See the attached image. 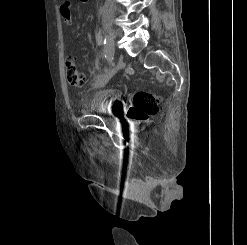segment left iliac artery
Returning a JSON list of instances; mask_svg holds the SVG:
<instances>
[{"label": "left iliac artery", "mask_w": 247, "mask_h": 245, "mask_svg": "<svg viewBox=\"0 0 247 245\" xmlns=\"http://www.w3.org/2000/svg\"><path fill=\"white\" fill-rule=\"evenodd\" d=\"M107 35L109 37H104V57L107 59L109 63L112 62L114 58L116 40L114 39V35L112 31H108Z\"/></svg>", "instance_id": "left-iliac-artery-1"}]
</instances>
